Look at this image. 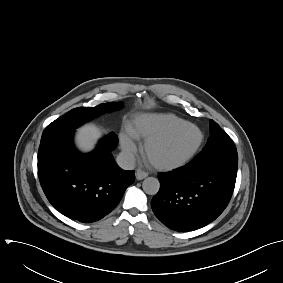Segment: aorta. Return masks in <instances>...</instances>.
<instances>
[{
	"label": "aorta",
	"instance_id": "1",
	"mask_svg": "<svg viewBox=\"0 0 283 283\" xmlns=\"http://www.w3.org/2000/svg\"><path fill=\"white\" fill-rule=\"evenodd\" d=\"M142 188L146 194L155 195L159 191L160 182L157 178L148 177L143 181Z\"/></svg>",
	"mask_w": 283,
	"mask_h": 283
}]
</instances>
